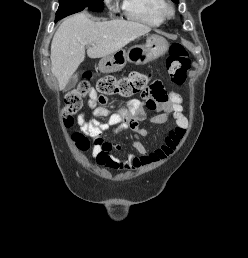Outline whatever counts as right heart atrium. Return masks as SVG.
Returning <instances> with one entry per match:
<instances>
[{
    "label": "right heart atrium",
    "instance_id": "obj_1",
    "mask_svg": "<svg viewBox=\"0 0 248 258\" xmlns=\"http://www.w3.org/2000/svg\"><path fill=\"white\" fill-rule=\"evenodd\" d=\"M108 8L113 11L114 10V5H113V0H104Z\"/></svg>",
    "mask_w": 248,
    "mask_h": 258
}]
</instances>
